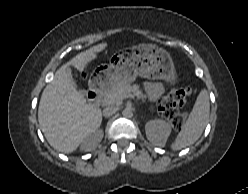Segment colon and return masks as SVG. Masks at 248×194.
I'll return each instance as SVG.
<instances>
[{"label":"colon","instance_id":"5ec220e1","mask_svg":"<svg viewBox=\"0 0 248 194\" xmlns=\"http://www.w3.org/2000/svg\"><path fill=\"white\" fill-rule=\"evenodd\" d=\"M83 77L87 78L88 74L85 72ZM191 95L190 87H173L170 93L160 101V114L177 130H180L186 121V113L180 108L187 103Z\"/></svg>","mask_w":248,"mask_h":194}]
</instances>
